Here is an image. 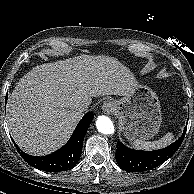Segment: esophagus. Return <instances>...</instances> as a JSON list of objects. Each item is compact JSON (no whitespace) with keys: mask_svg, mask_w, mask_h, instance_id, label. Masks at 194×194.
I'll return each instance as SVG.
<instances>
[{"mask_svg":"<svg viewBox=\"0 0 194 194\" xmlns=\"http://www.w3.org/2000/svg\"><path fill=\"white\" fill-rule=\"evenodd\" d=\"M102 108L105 113L110 114L114 111V104L111 101H106Z\"/></svg>","mask_w":194,"mask_h":194,"instance_id":"obj_1","label":"esophagus"}]
</instances>
